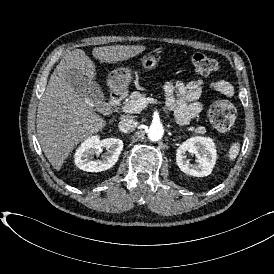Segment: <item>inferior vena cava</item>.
I'll list each match as a JSON object with an SVG mask.
<instances>
[{
	"label": "inferior vena cava",
	"mask_w": 274,
	"mask_h": 274,
	"mask_svg": "<svg viewBox=\"0 0 274 274\" xmlns=\"http://www.w3.org/2000/svg\"><path fill=\"white\" fill-rule=\"evenodd\" d=\"M138 126V122L133 118H127L121 120L118 124V128L123 133H128L134 131Z\"/></svg>",
	"instance_id": "obj_1"
}]
</instances>
